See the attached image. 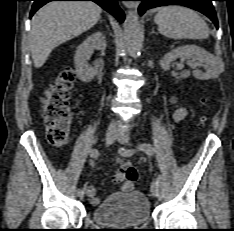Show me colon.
Returning a JSON list of instances; mask_svg holds the SVG:
<instances>
[{
	"label": "colon",
	"instance_id": "1",
	"mask_svg": "<svg viewBox=\"0 0 234 231\" xmlns=\"http://www.w3.org/2000/svg\"><path fill=\"white\" fill-rule=\"evenodd\" d=\"M74 79L72 69H63L48 87L42 100L46 135L49 142L55 146H63L68 141L69 125L72 120L70 92ZM136 179L137 171L130 162H122L114 175L115 182L124 180L134 182Z\"/></svg>",
	"mask_w": 234,
	"mask_h": 231
}]
</instances>
